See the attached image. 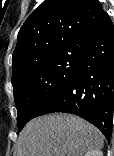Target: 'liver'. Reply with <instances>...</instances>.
<instances>
[{
    "instance_id": "liver-1",
    "label": "liver",
    "mask_w": 114,
    "mask_h": 156,
    "mask_svg": "<svg viewBox=\"0 0 114 156\" xmlns=\"http://www.w3.org/2000/svg\"><path fill=\"white\" fill-rule=\"evenodd\" d=\"M17 156H82L100 150L102 133L71 114H49L28 122L19 135Z\"/></svg>"
}]
</instances>
